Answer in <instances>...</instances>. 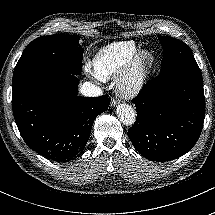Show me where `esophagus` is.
Returning a JSON list of instances; mask_svg holds the SVG:
<instances>
[{
	"label": "esophagus",
	"instance_id": "obj_1",
	"mask_svg": "<svg viewBox=\"0 0 215 215\" xmlns=\"http://www.w3.org/2000/svg\"><path fill=\"white\" fill-rule=\"evenodd\" d=\"M117 104V99H113L112 101H111V106H115Z\"/></svg>",
	"mask_w": 215,
	"mask_h": 215
}]
</instances>
